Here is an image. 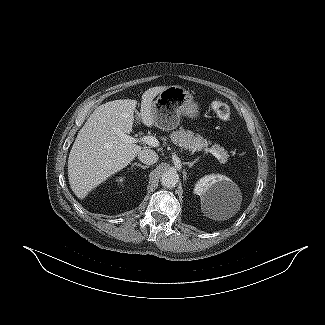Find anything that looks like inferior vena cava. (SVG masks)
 Listing matches in <instances>:
<instances>
[{"instance_id": "602c4592", "label": "inferior vena cava", "mask_w": 325, "mask_h": 325, "mask_svg": "<svg viewBox=\"0 0 325 325\" xmlns=\"http://www.w3.org/2000/svg\"><path fill=\"white\" fill-rule=\"evenodd\" d=\"M138 159L144 164L152 165L158 161V155L153 150L143 149L138 154Z\"/></svg>"}]
</instances>
